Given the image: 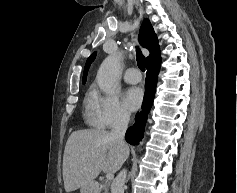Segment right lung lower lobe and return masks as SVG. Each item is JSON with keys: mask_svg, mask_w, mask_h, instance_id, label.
<instances>
[{"mask_svg": "<svg viewBox=\"0 0 237 193\" xmlns=\"http://www.w3.org/2000/svg\"><path fill=\"white\" fill-rule=\"evenodd\" d=\"M161 57L147 63V76L145 79L146 92L142 105L143 111L136 115V122L126 132V141L131 145H137L143 138L144 127L147 120L156 91L157 77L160 70Z\"/></svg>", "mask_w": 237, "mask_h": 193, "instance_id": "1", "label": "right lung lower lobe"}]
</instances>
